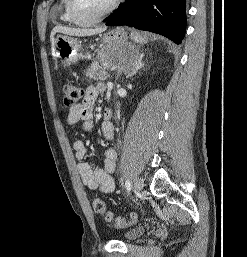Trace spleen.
Segmentation results:
<instances>
[{"instance_id": "1", "label": "spleen", "mask_w": 247, "mask_h": 257, "mask_svg": "<svg viewBox=\"0 0 247 257\" xmlns=\"http://www.w3.org/2000/svg\"><path fill=\"white\" fill-rule=\"evenodd\" d=\"M135 41L142 43V42H145V38H142L141 36H139L138 38L135 39Z\"/></svg>"}]
</instances>
